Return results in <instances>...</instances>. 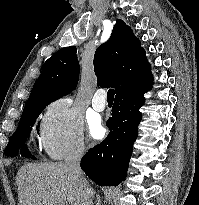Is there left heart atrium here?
<instances>
[{"label":"left heart atrium","instance_id":"obj_1","mask_svg":"<svg viewBox=\"0 0 199 205\" xmlns=\"http://www.w3.org/2000/svg\"><path fill=\"white\" fill-rule=\"evenodd\" d=\"M105 130L99 122H94L91 125V135L95 139H100L104 136Z\"/></svg>","mask_w":199,"mask_h":205}]
</instances>
